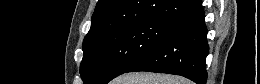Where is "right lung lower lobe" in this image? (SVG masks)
<instances>
[{
	"label": "right lung lower lobe",
	"mask_w": 260,
	"mask_h": 84,
	"mask_svg": "<svg viewBox=\"0 0 260 84\" xmlns=\"http://www.w3.org/2000/svg\"><path fill=\"white\" fill-rule=\"evenodd\" d=\"M207 29L202 5L174 22L166 34L126 72L149 71L184 76L197 84L207 80Z\"/></svg>",
	"instance_id": "1"
}]
</instances>
